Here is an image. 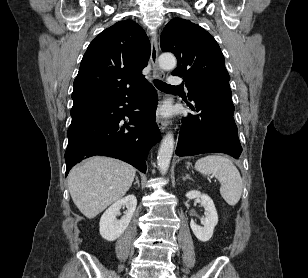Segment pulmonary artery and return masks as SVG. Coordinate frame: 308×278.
Returning a JSON list of instances; mask_svg holds the SVG:
<instances>
[{
	"label": "pulmonary artery",
	"instance_id": "e3ab8cb5",
	"mask_svg": "<svg viewBox=\"0 0 308 278\" xmlns=\"http://www.w3.org/2000/svg\"><path fill=\"white\" fill-rule=\"evenodd\" d=\"M182 83H183V80L181 77L171 76L169 78V84H171L172 86H178V85H181Z\"/></svg>",
	"mask_w": 308,
	"mask_h": 278
}]
</instances>
